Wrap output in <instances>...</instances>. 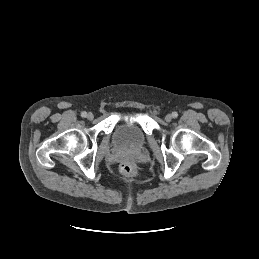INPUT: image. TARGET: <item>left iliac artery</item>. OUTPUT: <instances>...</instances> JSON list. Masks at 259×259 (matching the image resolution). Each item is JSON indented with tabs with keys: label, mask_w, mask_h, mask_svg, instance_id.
Listing matches in <instances>:
<instances>
[{
	"label": "left iliac artery",
	"mask_w": 259,
	"mask_h": 259,
	"mask_svg": "<svg viewBox=\"0 0 259 259\" xmlns=\"http://www.w3.org/2000/svg\"><path fill=\"white\" fill-rule=\"evenodd\" d=\"M172 117L173 118H177L178 117V113L177 112H172Z\"/></svg>",
	"instance_id": "left-iliac-artery-1"
}]
</instances>
